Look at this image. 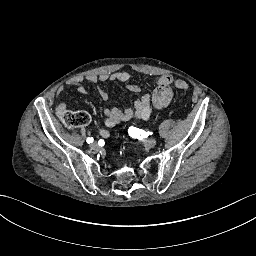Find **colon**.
Returning <instances> with one entry per match:
<instances>
[{"label": "colon", "mask_w": 256, "mask_h": 256, "mask_svg": "<svg viewBox=\"0 0 256 256\" xmlns=\"http://www.w3.org/2000/svg\"><path fill=\"white\" fill-rule=\"evenodd\" d=\"M175 86L176 89L181 92H188L190 90L189 85L184 81H177L175 83ZM63 122L69 128L79 127L87 125V123L89 122V117L87 114L82 112L66 110L63 113Z\"/></svg>", "instance_id": "5ec220e1"}]
</instances>
